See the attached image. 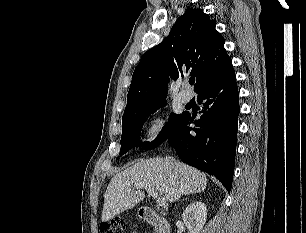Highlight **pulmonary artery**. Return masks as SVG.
<instances>
[{"mask_svg":"<svg viewBox=\"0 0 306 233\" xmlns=\"http://www.w3.org/2000/svg\"><path fill=\"white\" fill-rule=\"evenodd\" d=\"M187 82L184 83L183 89L179 93V99L182 103L187 104L191 100V94L187 90Z\"/></svg>","mask_w":306,"mask_h":233,"instance_id":"1","label":"pulmonary artery"}]
</instances>
